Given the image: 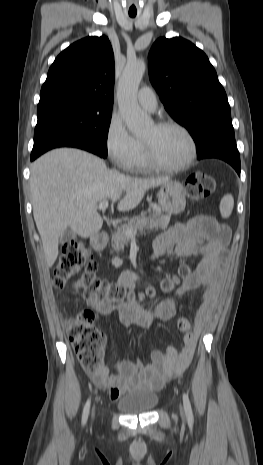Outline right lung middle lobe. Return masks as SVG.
Instances as JSON below:
<instances>
[{
	"instance_id": "dd1d6c3e",
	"label": "right lung middle lobe",
	"mask_w": 263,
	"mask_h": 465,
	"mask_svg": "<svg viewBox=\"0 0 263 465\" xmlns=\"http://www.w3.org/2000/svg\"><path fill=\"white\" fill-rule=\"evenodd\" d=\"M112 106L76 98L39 102L34 146L58 136H77L97 147L105 158Z\"/></svg>"
}]
</instances>
